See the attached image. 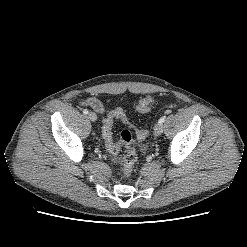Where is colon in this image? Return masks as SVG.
I'll return each mask as SVG.
<instances>
[{"instance_id": "colon-1", "label": "colon", "mask_w": 247, "mask_h": 247, "mask_svg": "<svg viewBox=\"0 0 247 247\" xmlns=\"http://www.w3.org/2000/svg\"><path fill=\"white\" fill-rule=\"evenodd\" d=\"M155 99L147 95L141 98L136 106V110L139 113H147L153 106ZM114 119H119L123 123L128 124L126 114L120 108L112 110L103 121L102 126V137L104 139L106 148L111 155H116L120 151L121 147L126 149V154L123 158V174L128 178L133 171L134 165L137 161V150L135 146L134 136L132 130L129 128L124 129L121 132L120 142L115 143L113 141V121ZM136 136L139 140H144L148 136L146 130H139L136 132Z\"/></svg>"}]
</instances>
